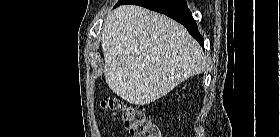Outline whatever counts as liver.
Wrapping results in <instances>:
<instances>
[{"mask_svg":"<svg viewBox=\"0 0 280 137\" xmlns=\"http://www.w3.org/2000/svg\"><path fill=\"white\" fill-rule=\"evenodd\" d=\"M101 42L107 85L134 105L166 96L205 69L204 53L187 30L143 7L123 5L112 11Z\"/></svg>","mask_w":280,"mask_h":137,"instance_id":"liver-1","label":"liver"}]
</instances>
